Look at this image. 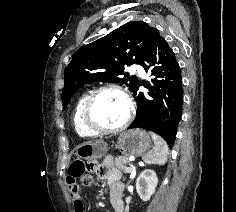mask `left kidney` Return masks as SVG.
<instances>
[{
  "label": "left kidney",
  "mask_w": 236,
  "mask_h": 212,
  "mask_svg": "<svg viewBox=\"0 0 236 212\" xmlns=\"http://www.w3.org/2000/svg\"><path fill=\"white\" fill-rule=\"evenodd\" d=\"M158 178L154 170H144L136 180V190L143 201H148L154 194Z\"/></svg>",
  "instance_id": "left-kidney-1"
}]
</instances>
